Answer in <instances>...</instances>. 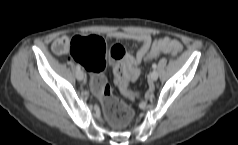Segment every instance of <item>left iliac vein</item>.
<instances>
[{
  "label": "left iliac vein",
  "mask_w": 238,
  "mask_h": 145,
  "mask_svg": "<svg viewBox=\"0 0 238 145\" xmlns=\"http://www.w3.org/2000/svg\"><path fill=\"white\" fill-rule=\"evenodd\" d=\"M157 79H158V72L156 70H154L149 75V81L154 82Z\"/></svg>",
  "instance_id": "1"
}]
</instances>
